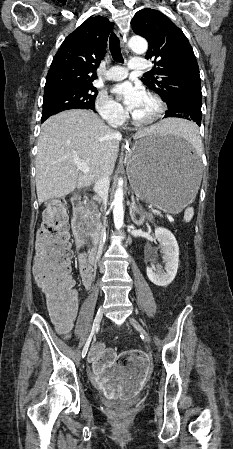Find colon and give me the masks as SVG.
<instances>
[{"mask_svg": "<svg viewBox=\"0 0 233 449\" xmlns=\"http://www.w3.org/2000/svg\"><path fill=\"white\" fill-rule=\"evenodd\" d=\"M71 260L67 201L58 198L50 201L43 213V225L36 240L34 275L52 314L59 320L69 319L77 304ZM131 358L124 354L120 363L132 364Z\"/></svg>", "mask_w": 233, "mask_h": 449, "instance_id": "colon-1", "label": "colon"}]
</instances>
